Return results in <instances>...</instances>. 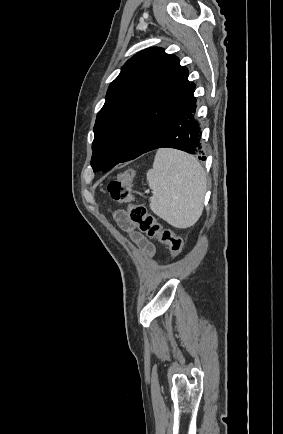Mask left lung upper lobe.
<instances>
[{"label":"left lung upper lobe","mask_w":283,"mask_h":434,"mask_svg":"<svg viewBox=\"0 0 283 434\" xmlns=\"http://www.w3.org/2000/svg\"><path fill=\"white\" fill-rule=\"evenodd\" d=\"M194 91L187 68L163 48H148L129 59L97 114L93 170L105 172L143 154L166 118Z\"/></svg>","instance_id":"1"}]
</instances>
